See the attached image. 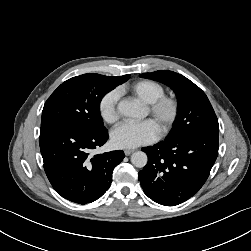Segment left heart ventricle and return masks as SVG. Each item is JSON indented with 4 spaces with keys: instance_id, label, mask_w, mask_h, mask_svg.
<instances>
[{
    "instance_id": "left-heart-ventricle-1",
    "label": "left heart ventricle",
    "mask_w": 251,
    "mask_h": 251,
    "mask_svg": "<svg viewBox=\"0 0 251 251\" xmlns=\"http://www.w3.org/2000/svg\"><path fill=\"white\" fill-rule=\"evenodd\" d=\"M156 126L159 128V121L158 120H154Z\"/></svg>"
}]
</instances>
